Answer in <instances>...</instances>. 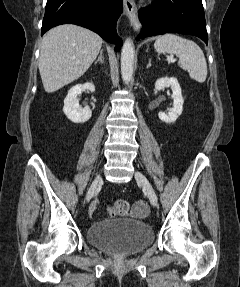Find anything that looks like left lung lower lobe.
I'll return each mask as SVG.
<instances>
[{
    "label": "left lung lower lobe",
    "mask_w": 240,
    "mask_h": 287,
    "mask_svg": "<svg viewBox=\"0 0 240 287\" xmlns=\"http://www.w3.org/2000/svg\"><path fill=\"white\" fill-rule=\"evenodd\" d=\"M143 25L137 39L164 33L195 35L207 44V30L201 0H155L139 11Z\"/></svg>",
    "instance_id": "1"
}]
</instances>
